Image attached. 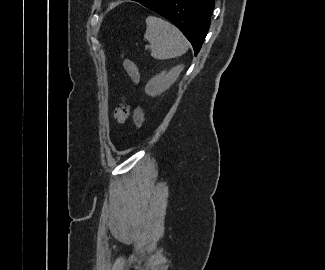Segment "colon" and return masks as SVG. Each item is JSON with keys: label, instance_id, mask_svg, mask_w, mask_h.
I'll list each match as a JSON object with an SVG mask.
<instances>
[{"label": "colon", "instance_id": "1", "mask_svg": "<svg viewBox=\"0 0 325 270\" xmlns=\"http://www.w3.org/2000/svg\"><path fill=\"white\" fill-rule=\"evenodd\" d=\"M123 66L126 70L127 74L129 75L130 79L135 83L138 84L140 80L139 71L132 60L129 58L123 59ZM134 123L137 129L142 127L144 121V113L140 106H137L134 110Z\"/></svg>", "mask_w": 325, "mask_h": 270}]
</instances>
